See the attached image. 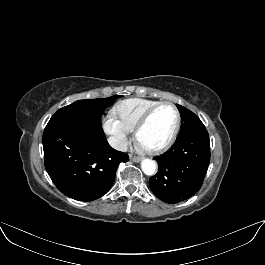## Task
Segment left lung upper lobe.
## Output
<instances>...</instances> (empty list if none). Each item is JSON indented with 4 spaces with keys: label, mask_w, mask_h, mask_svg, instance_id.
<instances>
[{
    "label": "left lung upper lobe",
    "mask_w": 265,
    "mask_h": 265,
    "mask_svg": "<svg viewBox=\"0 0 265 265\" xmlns=\"http://www.w3.org/2000/svg\"><path fill=\"white\" fill-rule=\"evenodd\" d=\"M176 106L182 118L181 129L177 137L183 136L198 128L204 127L201 120L193 112L181 105L177 104Z\"/></svg>",
    "instance_id": "obj_1"
}]
</instances>
